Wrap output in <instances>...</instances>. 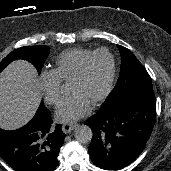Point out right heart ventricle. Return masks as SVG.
Instances as JSON below:
<instances>
[{
  "mask_svg": "<svg viewBox=\"0 0 171 171\" xmlns=\"http://www.w3.org/2000/svg\"><path fill=\"white\" fill-rule=\"evenodd\" d=\"M92 52V50L83 48L66 50L56 58L52 72L60 82H68L81 62Z\"/></svg>",
  "mask_w": 171,
  "mask_h": 171,
  "instance_id": "1",
  "label": "right heart ventricle"
}]
</instances>
